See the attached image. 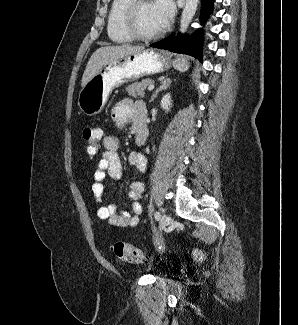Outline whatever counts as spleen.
<instances>
[{
  "label": "spleen",
  "mask_w": 298,
  "mask_h": 325,
  "mask_svg": "<svg viewBox=\"0 0 298 325\" xmlns=\"http://www.w3.org/2000/svg\"><path fill=\"white\" fill-rule=\"evenodd\" d=\"M175 68L180 70V72H185V70L188 68V64H186V62H184V64H180V62H178V64H175Z\"/></svg>",
  "instance_id": "1"
}]
</instances>
